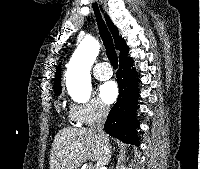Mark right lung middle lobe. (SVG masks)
Returning a JSON list of instances; mask_svg holds the SVG:
<instances>
[{
	"instance_id": "1",
	"label": "right lung middle lobe",
	"mask_w": 200,
	"mask_h": 169,
	"mask_svg": "<svg viewBox=\"0 0 200 169\" xmlns=\"http://www.w3.org/2000/svg\"><path fill=\"white\" fill-rule=\"evenodd\" d=\"M56 94H59L60 92H55Z\"/></svg>"
}]
</instances>
